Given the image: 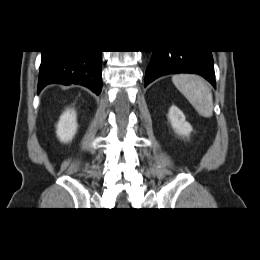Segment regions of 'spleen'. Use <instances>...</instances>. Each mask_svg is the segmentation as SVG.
<instances>
[{"instance_id": "obj_1", "label": "spleen", "mask_w": 260, "mask_h": 260, "mask_svg": "<svg viewBox=\"0 0 260 260\" xmlns=\"http://www.w3.org/2000/svg\"><path fill=\"white\" fill-rule=\"evenodd\" d=\"M172 82L201 116L206 118L212 116L213 96L203 78L197 75L179 74L172 77Z\"/></svg>"}]
</instances>
